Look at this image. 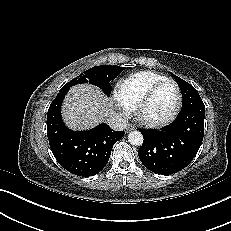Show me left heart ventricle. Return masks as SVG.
Wrapping results in <instances>:
<instances>
[{
  "mask_svg": "<svg viewBox=\"0 0 231 231\" xmlns=\"http://www.w3.org/2000/svg\"><path fill=\"white\" fill-rule=\"evenodd\" d=\"M176 103V89L173 84L161 85L148 101L144 115L151 119H161L167 116Z\"/></svg>",
  "mask_w": 231,
  "mask_h": 231,
  "instance_id": "obj_1",
  "label": "left heart ventricle"
}]
</instances>
